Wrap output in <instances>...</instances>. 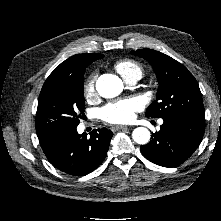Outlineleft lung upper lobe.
<instances>
[{
  "instance_id": "1",
  "label": "left lung upper lobe",
  "mask_w": 221,
  "mask_h": 221,
  "mask_svg": "<svg viewBox=\"0 0 221 221\" xmlns=\"http://www.w3.org/2000/svg\"><path fill=\"white\" fill-rule=\"evenodd\" d=\"M131 54L146 59L157 76V100L147 109L146 116L168 118L179 115L204 117L201 92L196 79L178 61L155 50L140 49Z\"/></svg>"
}]
</instances>
